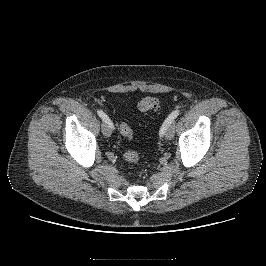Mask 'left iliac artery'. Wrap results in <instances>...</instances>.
<instances>
[{
    "label": "left iliac artery",
    "mask_w": 266,
    "mask_h": 266,
    "mask_svg": "<svg viewBox=\"0 0 266 266\" xmlns=\"http://www.w3.org/2000/svg\"><path fill=\"white\" fill-rule=\"evenodd\" d=\"M179 114L180 110H175L166 118L159 131L160 136H163L165 134L167 128L171 125V123L177 118Z\"/></svg>",
    "instance_id": "obj_1"
}]
</instances>
